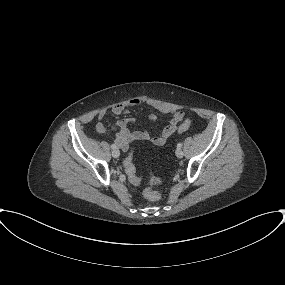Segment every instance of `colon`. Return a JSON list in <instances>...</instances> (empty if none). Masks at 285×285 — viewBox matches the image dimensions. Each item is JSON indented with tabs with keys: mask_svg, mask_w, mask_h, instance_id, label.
Masks as SVG:
<instances>
[{
	"mask_svg": "<svg viewBox=\"0 0 285 285\" xmlns=\"http://www.w3.org/2000/svg\"><path fill=\"white\" fill-rule=\"evenodd\" d=\"M178 119H180V115H178L177 117ZM192 124V121L187 119V120H182L180 122V126H179V130L180 131H185L187 130ZM124 169L125 172L129 178V180L134 183V184H141V178L139 177V175L137 174L135 165L133 163V157L132 155H128L125 160H124ZM144 195L145 197L150 200V201H159L161 199V195L155 191L154 189H152V187L148 186L145 190H144Z\"/></svg>",
	"mask_w": 285,
	"mask_h": 285,
	"instance_id": "colon-1",
	"label": "colon"
}]
</instances>
